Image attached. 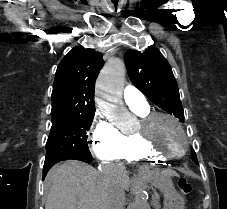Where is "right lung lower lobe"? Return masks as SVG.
I'll return each mask as SVG.
<instances>
[{"label":"right lung lower lobe","instance_id":"1","mask_svg":"<svg viewBox=\"0 0 227 209\" xmlns=\"http://www.w3.org/2000/svg\"><path fill=\"white\" fill-rule=\"evenodd\" d=\"M69 159H76V160H80V161H83V162H91L93 160L92 157H72V156H66V157H62V158H59V159H56L54 161L51 162L50 166H49V169L54 165L56 164L57 162H60V161H63V160H69ZM48 172V171H47ZM47 172L45 173L43 171V175L45 176L47 174Z\"/></svg>","mask_w":227,"mask_h":209}]
</instances>
